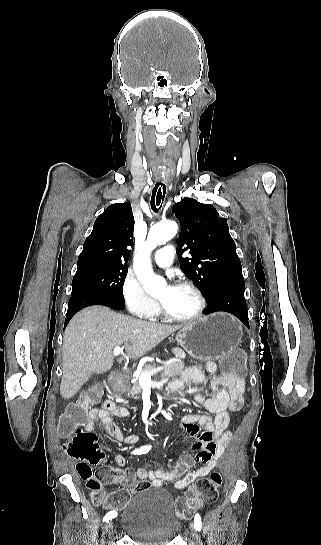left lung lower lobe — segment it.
<instances>
[{
	"label": "left lung lower lobe",
	"instance_id": "left-lung-lower-lobe-1",
	"mask_svg": "<svg viewBox=\"0 0 321 545\" xmlns=\"http://www.w3.org/2000/svg\"><path fill=\"white\" fill-rule=\"evenodd\" d=\"M244 287L245 283L242 274L219 280L213 285L209 295L205 296L208 307L204 313L210 314L217 311L229 312L249 327Z\"/></svg>",
	"mask_w": 321,
	"mask_h": 545
}]
</instances>
